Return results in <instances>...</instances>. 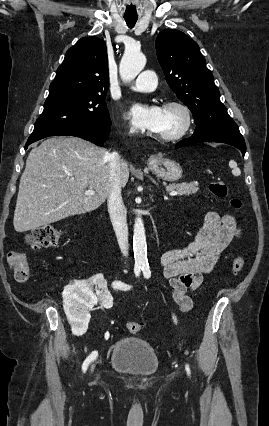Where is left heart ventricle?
Returning a JSON list of instances; mask_svg holds the SVG:
<instances>
[{
  "mask_svg": "<svg viewBox=\"0 0 269 426\" xmlns=\"http://www.w3.org/2000/svg\"><path fill=\"white\" fill-rule=\"evenodd\" d=\"M182 114L175 109H163L159 127L154 131L157 135H167L177 131L182 125Z\"/></svg>",
  "mask_w": 269,
  "mask_h": 426,
  "instance_id": "1",
  "label": "left heart ventricle"
}]
</instances>
